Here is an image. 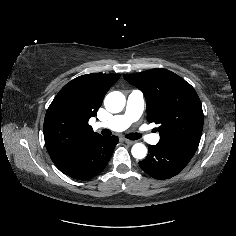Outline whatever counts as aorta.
I'll list each match as a JSON object with an SVG mask.
<instances>
[{
  "instance_id": "aorta-1",
  "label": "aorta",
  "mask_w": 236,
  "mask_h": 236,
  "mask_svg": "<svg viewBox=\"0 0 236 236\" xmlns=\"http://www.w3.org/2000/svg\"><path fill=\"white\" fill-rule=\"evenodd\" d=\"M125 96L119 91H113L107 94L104 99V105L107 111L118 113L125 107ZM132 156L136 159H143L147 155V148L142 143H136L131 149Z\"/></svg>"
}]
</instances>
